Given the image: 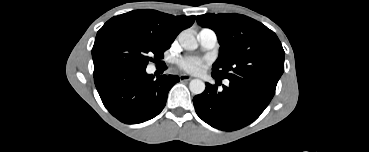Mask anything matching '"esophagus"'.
Here are the masks:
<instances>
[{
  "instance_id": "esophagus-1",
  "label": "esophagus",
  "mask_w": 369,
  "mask_h": 152,
  "mask_svg": "<svg viewBox=\"0 0 369 152\" xmlns=\"http://www.w3.org/2000/svg\"><path fill=\"white\" fill-rule=\"evenodd\" d=\"M179 79H180L181 82H185V81H190L192 78L190 76L186 75V74H181L179 76Z\"/></svg>"
}]
</instances>
